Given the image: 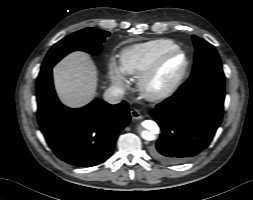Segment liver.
Segmentation results:
<instances>
[{"instance_id":"6515ba94","label":"liver","mask_w":253,"mask_h":200,"mask_svg":"<svg viewBox=\"0 0 253 200\" xmlns=\"http://www.w3.org/2000/svg\"><path fill=\"white\" fill-rule=\"evenodd\" d=\"M54 85L61 102L77 108L89 103L96 95L97 71L91 58L73 52L53 69Z\"/></svg>"}]
</instances>
